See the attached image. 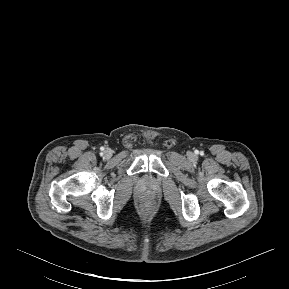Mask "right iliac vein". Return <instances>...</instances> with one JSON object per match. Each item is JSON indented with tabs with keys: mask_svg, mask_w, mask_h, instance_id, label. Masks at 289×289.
I'll list each match as a JSON object with an SVG mask.
<instances>
[{
	"mask_svg": "<svg viewBox=\"0 0 289 289\" xmlns=\"http://www.w3.org/2000/svg\"><path fill=\"white\" fill-rule=\"evenodd\" d=\"M111 155H112V152H111V150H109V149H106V150L104 151V156H105L106 158H109V157H111Z\"/></svg>",
	"mask_w": 289,
	"mask_h": 289,
	"instance_id": "1",
	"label": "right iliac vein"
}]
</instances>
